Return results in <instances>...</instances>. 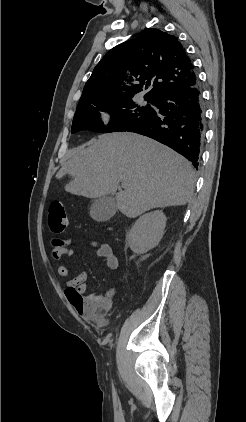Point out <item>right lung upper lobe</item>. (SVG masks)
Listing matches in <instances>:
<instances>
[{
	"instance_id": "obj_1",
	"label": "right lung upper lobe",
	"mask_w": 246,
	"mask_h": 422,
	"mask_svg": "<svg viewBox=\"0 0 246 422\" xmlns=\"http://www.w3.org/2000/svg\"><path fill=\"white\" fill-rule=\"evenodd\" d=\"M129 68L131 86L123 82ZM198 82L194 66L178 39L159 29H147L137 38L112 48L94 68L84 86L78 106L121 96H144L153 101L164 93ZM126 90V92H123Z\"/></svg>"
}]
</instances>
